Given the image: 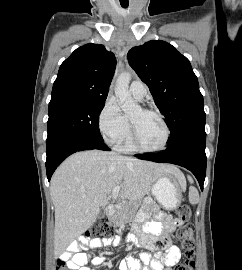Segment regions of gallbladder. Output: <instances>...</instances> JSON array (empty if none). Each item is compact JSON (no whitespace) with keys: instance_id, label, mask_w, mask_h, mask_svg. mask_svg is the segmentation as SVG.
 <instances>
[{"instance_id":"1","label":"gallbladder","mask_w":242,"mask_h":270,"mask_svg":"<svg viewBox=\"0 0 242 270\" xmlns=\"http://www.w3.org/2000/svg\"><path fill=\"white\" fill-rule=\"evenodd\" d=\"M105 216V209L102 207V209H100V212L98 214V218H103Z\"/></svg>"}]
</instances>
